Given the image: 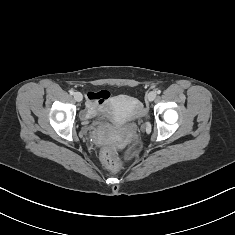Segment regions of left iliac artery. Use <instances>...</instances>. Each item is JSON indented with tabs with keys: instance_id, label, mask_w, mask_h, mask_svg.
Returning <instances> with one entry per match:
<instances>
[{
	"instance_id": "44dca946",
	"label": "left iliac artery",
	"mask_w": 235,
	"mask_h": 235,
	"mask_svg": "<svg viewBox=\"0 0 235 235\" xmlns=\"http://www.w3.org/2000/svg\"><path fill=\"white\" fill-rule=\"evenodd\" d=\"M156 92H157V94H160V93H161V90H157Z\"/></svg>"
}]
</instances>
